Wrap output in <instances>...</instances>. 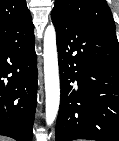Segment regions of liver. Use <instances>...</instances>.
Listing matches in <instances>:
<instances>
[{
  "label": "liver",
  "mask_w": 119,
  "mask_h": 141,
  "mask_svg": "<svg viewBox=\"0 0 119 141\" xmlns=\"http://www.w3.org/2000/svg\"><path fill=\"white\" fill-rule=\"evenodd\" d=\"M0 141H9V139L8 138L0 137Z\"/></svg>",
  "instance_id": "obj_1"
}]
</instances>
